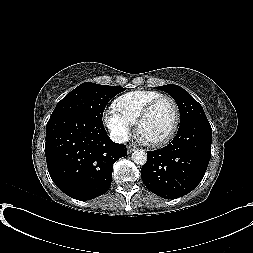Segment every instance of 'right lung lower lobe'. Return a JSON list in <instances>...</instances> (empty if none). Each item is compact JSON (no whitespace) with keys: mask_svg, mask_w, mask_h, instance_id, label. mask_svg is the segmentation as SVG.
<instances>
[{"mask_svg":"<svg viewBox=\"0 0 253 253\" xmlns=\"http://www.w3.org/2000/svg\"><path fill=\"white\" fill-rule=\"evenodd\" d=\"M45 154L58 188L76 200H90L109 189L113 164L127 155V149L110 140L103 122L66 113L50 117Z\"/></svg>","mask_w":253,"mask_h":253,"instance_id":"right-lung-lower-lobe-1","label":"right lung lower lobe"}]
</instances>
